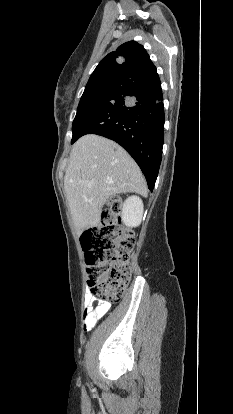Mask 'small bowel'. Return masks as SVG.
Segmentation results:
<instances>
[{
	"label": "small bowel",
	"mask_w": 233,
	"mask_h": 414,
	"mask_svg": "<svg viewBox=\"0 0 233 414\" xmlns=\"http://www.w3.org/2000/svg\"><path fill=\"white\" fill-rule=\"evenodd\" d=\"M85 300H84V315H83V324L84 329L90 331L110 309L111 303L107 300H99L96 305H94L96 299L89 294L91 292L90 288L86 289Z\"/></svg>",
	"instance_id": "obj_1"
}]
</instances>
